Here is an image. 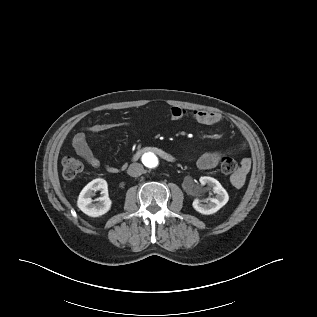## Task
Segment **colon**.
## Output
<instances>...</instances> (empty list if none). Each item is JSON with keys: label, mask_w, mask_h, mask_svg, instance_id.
I'll return each mask as SVG.
<instances>
[{"label": "colon", "mask_w": 317, "mask_h": 317, "mask_svg": "<svg viewBox=\"0 0 317 317\" xmlns=\"http://www.w3.org/2000/svg\"><path fill=\"white\" fill-rule=\"evenodd\" d=\"M220 169L226 175L235 174L240 170V164L232 157H223L220 160ZM83 170L82 162L72 156L62 160V174L66 179H74Z\"/></svg>", "instance_id": "obj_1"}]
</instances>
